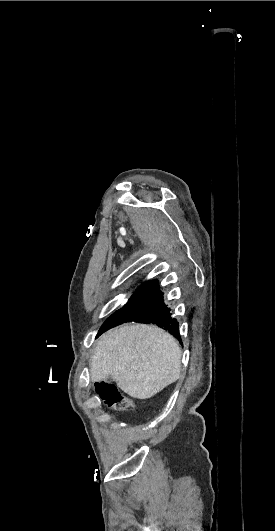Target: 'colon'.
<instances>
[{"label": "colon", "instance_id": "colon-1", "mask_svg": "<svg viewBox=\"0 0 275 531\" xmlns=\"http://www.w3.org/2000/svg\"><path fill=\"white\" fill-rule=\"evenodd\" d=\"M95 392L106 405L114 410L127 412L134 408L131 399L106 380H101L95 384Z\"/></svg>", "mask_w": 275, "mask_h": 531}]
</instances>
